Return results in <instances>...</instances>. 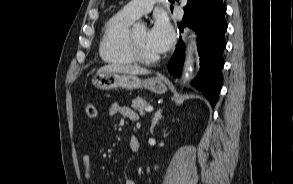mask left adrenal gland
Returning a JSON list of instances; mask_svg holds the SVG:
<instances>
[{"mask_svg":"<svg viewBox=\"0 0 293 184\" xmlns=\"http://www.w3.org/2000/svg\"><path fill=\"white\" fill-rule=\"evenodd\" d=\"M162 118H163L162 109H159L153 116L151 127H150L151 131H153L154 127L158 124V121Z\"/></svg>","mask_w":293,"mask_h":184,"instance_id":"obj_1","label":"left adrenal gland"}]
</instances>
